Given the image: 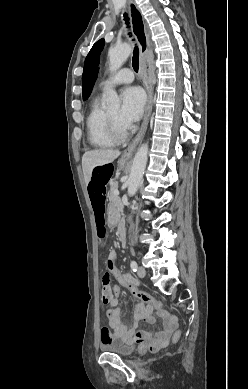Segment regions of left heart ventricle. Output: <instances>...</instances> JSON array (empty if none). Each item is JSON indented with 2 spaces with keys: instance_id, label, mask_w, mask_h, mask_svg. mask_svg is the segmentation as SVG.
Here are the masks:
<instances>
[{
  "instance_id": "left-heart-ventricle-1",
  "label": "left heart ventricle",
  "mask_w": 248,
  "mask_h": 389,
  "mask_svg": "<svg viewBox=\"0 0 248 389\" xmlns=\"http://www.w3.org/2000/svg\"><path fill=\"white\" fill-rule=\"evenodd\" d=\"M108 114L116 121V123L119 125L120 128L124 129V127L121 125V123L119 121V110L118 109L112 110V111L108 112Z\"/></svg>"
}]
</instances>
